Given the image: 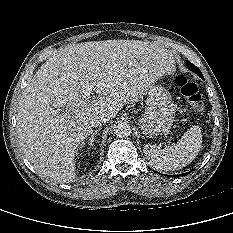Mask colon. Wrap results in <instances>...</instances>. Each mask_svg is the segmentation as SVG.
I'll return each mask as SVG.
<instances>
[{"instance_id": "1", "label": "colon", "mask_w": 233, "mask_h": 233, "mask_svg": "<svg viewBox=\"0 0 233 233\" xmlns=\"http://www.w3.org/2000/svg\"><path fill=\"white\" fill-rule=\"evenodd\" d=\"M175 83L180 88L184 98L195 111L203 110V98L198 86L195 83L189 81V79L182 74L175 77Z\"/></svg>"}]
</instances>
